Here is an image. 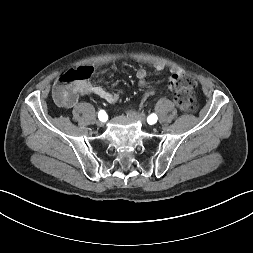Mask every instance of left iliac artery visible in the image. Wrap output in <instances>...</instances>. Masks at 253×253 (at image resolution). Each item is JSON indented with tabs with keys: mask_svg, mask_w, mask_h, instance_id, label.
I'll use <instances>...</instances> for the list:
<instances>
[{
	"mask_svg": "<svg viewBox=\"0 0 253 253\" xmlns=\"http://www.w3.org/2000/svg\"><path fill=\"white\" fill-rule=\"evenodd\" d=\"M157 115L156 114H151L148 118H147V122L149 123V124H154V123H156V121H157Z\"/></svg>",
	"mask_w": 253,
	"mask_h": 253,
	"instance_id": "left-iliac-artery-1",
	"label": "left iliac artery"
}]
</instances>
